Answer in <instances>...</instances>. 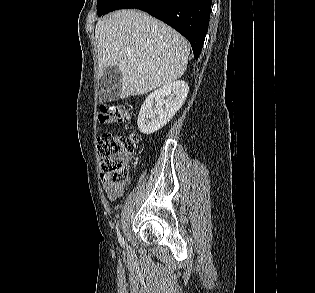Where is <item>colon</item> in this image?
Returning a JSON list of instances; mask_svg holds the SVG:
<instances>
[{
	"instance_id": "5ec220e1",
	"label": "colon",
	"mask_w": 315,
	"mask_h": 293,
	"mask_svg": "<svg viewBox=\"0 0 315 293\" xmlns=\"http://www.w3.org/2000/svg\"><path fill=\"white\" fill-rule=\"evenodd\" d=\"M127 107L107 106L98 111L100 124L123 122L130 118ZM138 141L136 135L103 134L97 139V154L104 183L124 184L129 176V160Z\"/></svg>"
}]
</instances>
